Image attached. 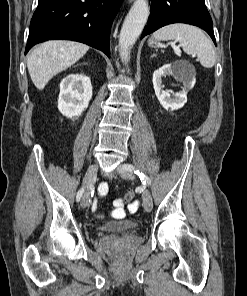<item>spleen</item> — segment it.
<instances>
[{"label": "spleen", "instance_id": "3e777b00", "mask_svg": "<svg viewBox=\"0 0 247 296\" xmlns=\"http://www.w3.org/2000/svg\"><path fill=\"white\" fill-rule=\"evenodd\" d=\"M156 40H176L188 55H197L201 65L212 68L216 57L212 42L204 32L192 25L171 24L158 29L153 34Z\"/></svg>", "mask_w": 247, "mask_h": 296}]
</instances>
